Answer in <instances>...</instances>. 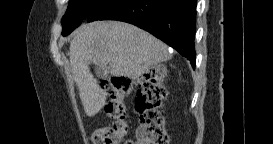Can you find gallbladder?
<instances>
[{"instance_id":"gallbladder-1","label":"gallbladder","mask_w":273,"mask_h":144,"mask_svg":"<svg viewBox=\"0 0 273 144\" xmlns=\"http://www.w3.org/2000/svg\"><path fill=\"white\" fill-rule=\"evenodd\" d=\"M96 74L98 80H109V71H106L101 65L98 67Z\"/></svg>"}]
</instances>
